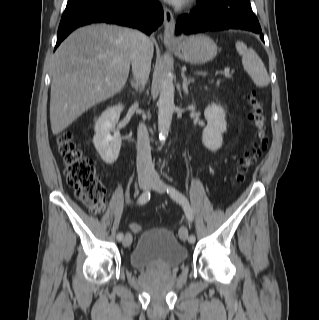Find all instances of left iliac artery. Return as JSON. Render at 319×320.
Returning <instances> with one entry per match:
<instances>
[{
  "label": "left iliac artery",
  "mask_w": 319,
  "mask_h": 320,
  "mask_svg": "<svg viewBox=\"0 0 319 320\" xmlns=\"http://www.w3.org/2000/svg\"><path fill=\"white\" fill-rule=\"evenodd\" d=\"M167 193L177 202H179L180 204H182L184 211H185V215L188 219L189 222H192L193 220V212L192 209L190 207V204L188 202V200L186 199V197L180 193L179 191H177L175 188L173 187H168L167 188ZM180 232V231H179ZM195 236L194 235H190L188 237V241L189 243H194L195 242Z\"/></svg>",
  "instance_id": "44dca946"
}]
</instances>
